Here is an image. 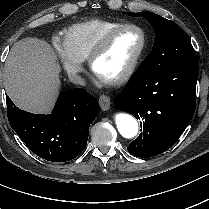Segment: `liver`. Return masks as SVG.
Listing matches in <instances>:
<instances>
[{"label":"liver","mask_w":209,"mask_h":209,"mask_svg":"<svg viewBox=\"0 0 209 209\" xmlns=\"http://www.w3.org/2000/svg\"><path fill=\"white\" fill-rule=\"evenodd\" d=\"M4 87L16 106L47 113L60 87L59 66L51 46L37 38L16 42L4 68Z\"/></svg>","instance_id":"liver-1"}]
</instances>
